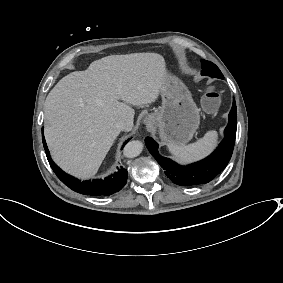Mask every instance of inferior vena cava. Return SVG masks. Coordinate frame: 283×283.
<instances>
[{"mask_svg": "<svg viewBox=\"0 0 283 283\" xmlns=\"http://www.w3.org/2000/svg\"><path fill=\"white\" fill-rule=\"evenodd\" d=\"M115 126L119 131H129V130H131L129 125L124 120L118 121L115 124Z\"/></svg>", "mask_w": 283, "mask_h": 283, "instance_id": "1", "label": "inferior vena cava"}]
</instances>
